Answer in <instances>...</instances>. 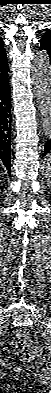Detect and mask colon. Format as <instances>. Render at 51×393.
Listing matches in <instances>:
<instances>
[{
	"label": "colon",
	"instance_id": "1",
	"mask_svg": "<svg viewBox=\"0 0 51 393\" xmlns=\"http://www.w3.org/2000/svg\"><path fill=\"white\" fill-rule=\"evenodd\" d=\"M11 346L14 353L22 360H32L41 354V348L31 340L24 330L16 332Z\"/></svg>",
	"mask_w": 51,
	"mask_h": 393
}]
</instances>
